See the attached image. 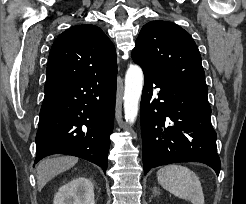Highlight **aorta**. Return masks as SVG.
<instances>
[{"instance_id": "obj_1", "label": "aorta", "mask_w": 246, "mask_h": 204, "mask_svg": "<svg viewBox=\"0 0 246 204\" xmlns=\"http://www.w3.org/2000/svg\"><path fill=\"white\" fill-rule=\"evenodd\" d=\"M144 76L138 65H130L125 75L124 113L125 119L133 124L138 115Z\"/></svg>"}]
</instances>
